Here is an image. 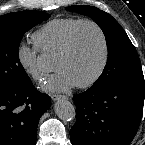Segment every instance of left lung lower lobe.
Masks as SVG:
<instances>
[{
	"instance_id": "left-lung-lower-lobe-1",
	"label": "left lung lower lobe",
	"mask_w": 145,
	"mask_h": 145,
	"mask_svg": "<svg viewBox=\"0 0 145 145\" xmlns=\"http://www.w3.org/2000/svg\"><path fill=\"white\" fill-rule=\"evenodd\" d=\"M145 95L144 79L89 88L77 94L73 145H128L139 128Z\"/></svg>"
}]
</instances>
